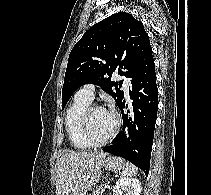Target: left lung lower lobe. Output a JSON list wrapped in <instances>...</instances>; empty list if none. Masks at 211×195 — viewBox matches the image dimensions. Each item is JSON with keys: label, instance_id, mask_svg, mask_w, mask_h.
Listing matches in <instances>:
<instances>
[{"label": "left lung lower lobe", "instance_id": "1", "mask_svg": "<svg viewBox=\"0 0 211 195\" xmlns=\"http://www.w3.org/2000/svg\"><path fill=\"white\" fill-rule=\"evenodd\" d=\"M129 97L132 105L127 114H124V108L128 109L125 100L119 104L123 128L103 151L127 159L148 175L158 109L154 59H150L131 80Z\"/></svg>", "mask_w": 211, "mask_h": 195}]
</instances>
